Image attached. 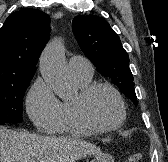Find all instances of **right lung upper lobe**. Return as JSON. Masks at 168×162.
<instances>
[{
    "mask_svg": "<svg viewBox=\"0 0 168 162\" xmlns=\"http://www.w3.org/2000/svg\"><path fill=\"white\" fill-rule=\"evenodd\" d=\"M50 17L40 10L10 14L0 28V82L35 74L50 35Z\"/></svg>",
    "mask_w": 168,
    "mask_h": 162,
    "instance_id": "obj_1",
    "label": "right lung upper lobe"
}]
</instances>
